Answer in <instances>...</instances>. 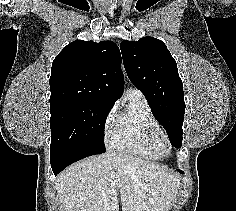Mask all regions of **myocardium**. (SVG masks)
Returning <instances> with one entry per match:
<instances>
[{
    "label": "myocardium",
    "mask_w": 236,
    "mask_h": 211,
    "mask_svg": "<svg viewBox=\"0 0 236 211\" xmlns=\"http://www.w3.org/2000/svg\"><path fill=\"white\" fill-rule=\"evenodd\" d=\"M159 135H161L166 140V142L168 144V151L165 154L160 153L155 148L154 142H155L156 137ZM141 143L146 148L147 151L152 153L158 159H163V158L168 157L171 154L172 149H173V145H172L169 135L161 127H153V128L148 129L146 131V133L144 134Z\"/></svg>",
    "instance_id": "myocardium-1"
}]
</instances>
